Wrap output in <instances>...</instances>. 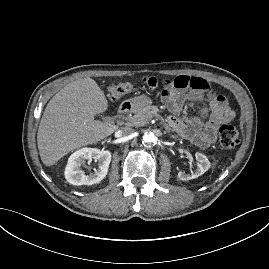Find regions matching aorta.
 <instances>
[{
  "label": "aorta",
  "mask_w": 269,
  "mask_h": 269,
  "mask_svg": "<svg viewBox=\"0 0 269 269\" xmlns=\"http://www.w3.org/2000/svg\"><path fill=\"white\" fill-rule=\"evenodd\" d=\"M155 139H156V137H155L154 133L146 132L143 135L142 142L147 144V145H151L155 142Z\"/></svg>",
  "instance_id": "obj_1"
}]
</instances>
